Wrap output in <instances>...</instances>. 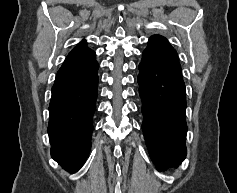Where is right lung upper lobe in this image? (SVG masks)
<instances>
[{"label": "right lung upper lobe", "instance_id": "obj_1", "mask_svg": "<svg viewBox=\"0 0 237 193\" xmlns=\"http://www.w3.org/2000/svg\"><path fill=\"white\" fill-rule=\"evenodd\" d=\"M73 50H90V49L86 46V41L83 40Z\"/></svg>", "mask_w": 237, "mask_h": 193}]
</instances>
